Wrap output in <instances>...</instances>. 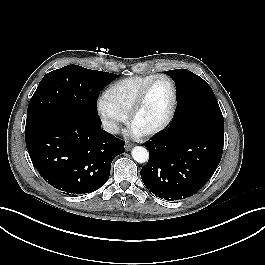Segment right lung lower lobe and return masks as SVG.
<instances>
[{"mask_svg": "<svg viewBox=\"0 0 265 265\" xmlns=\"http://www.w3.org/2000/svg\"><path fill=\"white\" fill-rule=\"evenodd\" d=\"M30 158L43 179L62 193L93 192L109 178L125 142L101 129L98 115L66 111L25 131Z\"/></svg>", "mask_w": 265, "mask_h": 265, "instance_id": "98d812e1", "label": "right lung lower lobe"}]
</instances>
